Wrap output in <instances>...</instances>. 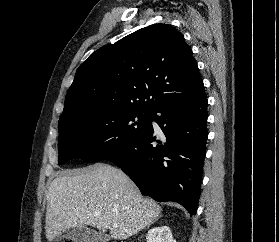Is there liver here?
Returning <instances> with one entry per match:
<instances>
[{
	"label": "liver",
	"instance_id": "6515ba94",
	"mask_svg": "<svg viewBox=\"0 0 279 242\" xmlns=\"http://www.w3.org/2000/svg\"><path fill=\"white\" fill-rule=\"evenodd\" d=\"M161 210L116 167L96 164L66 170L48 190L46 238L53 241L67 229L92 226L102 233L109 230L115 240H125L156 221Z\"/></svg>",
	"mask_w": 279,
	"mask_h": 242
}]
</instances>
